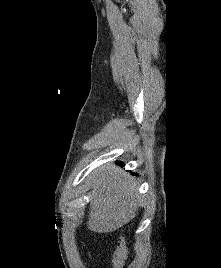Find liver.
<instances>
[{
    "label": "liver",
    "instance_id": "6515ba94",
    "mask_svg": "<svg viewBox=\"0 0 221 268\" xmlns=\"http://www.w3.org/2000/svg\"><path fill=\"white\" fill-rule=\"evenodd\" d=\"M90 186L89 229L98 233L111 232L135 217L140 196L133 177L107 164L93 171Z\"/></svg>",
    "mask_w": 221,
    "mask_h": 268
}]
</instances>
